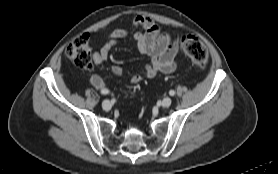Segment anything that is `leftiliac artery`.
Here are the masks:
<instances>
[{"mask_svg": "<svg viewBox=\"0 0 278 174\" xmlns=\"http://www.w3.org/2000/svg\"><path fill=\"white\" fill-rule=\"evenodd\" d=\"M169 95H170V96H174V95H175V91H174V90H170V91H169Z\"/></svg>", "mask_w": 278, "mask_h": 174, "instance_id": "obj_1", "label": "left iliac artery"}]
</instances>
